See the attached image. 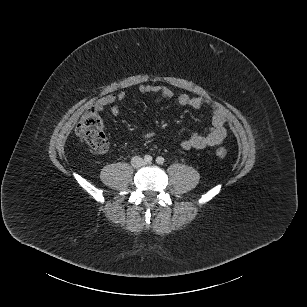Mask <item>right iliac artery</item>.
<instances>
[{
  "mask_svg": "<svg viewBox=\"0 0 307 307\" xmlns=\"http://www.w3.org/2000/svg\"><path fill=\"white\" fill-rule=\"evenodd\" d=\"M144 161H145L146 163H151V162H152V156H150V155H145V156H144Z\"/></svg>",
  "mask_w": 307,
  "mask_h": 307,
  "instance_id": "82829eb1",
  "label": "right iliac artery"
}]
</instances>
